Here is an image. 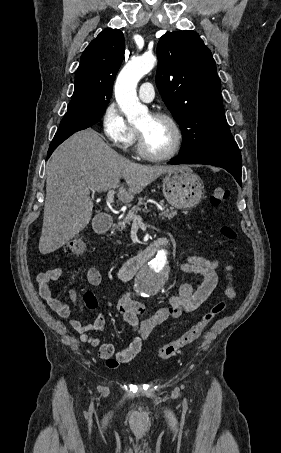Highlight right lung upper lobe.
<instances>
[{"instance_id": "1", "label": "right lung upper lobe", "mask_w": 281, "mask_h": 453, "mask_svg": "<svg viewBox=\"0 0 281 453\" xmlns=\"http://www.w3.org/2000/svg\"><path fill=\"white\" fill-rule=\"evenodd\" d=\"M124 51V35L119 29H105L92 40L81 56L68 107L85 104L107 106Z\"/></svg>"}]
</instances>
